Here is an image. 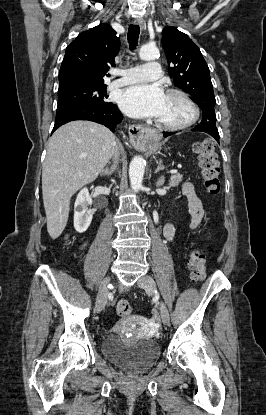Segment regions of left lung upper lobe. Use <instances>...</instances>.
Here are the masks:
<instances>
[{"mask_svg":"<svg viewBox=\"0 0 266 415\" xmlns=\"http://www.w3.org/2000/svg\"><path fill=\"white\" fill-rule=\"evenodd\" d=\"M162 45L174 84L189 93L202 109V121L193 130L219 137L210 71L200 49L185 33L170 26L162 31Z\"/></svg>","mask_w":266,"mask_h":415,"instance_id":"left-lung-upper-lobe-1","label":"left lung upper lobe"}]
</instances>
